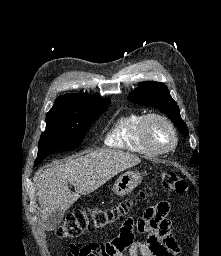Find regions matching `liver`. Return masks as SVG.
Returning <instances> with one entry per match:
<instances>
[{
  "label": "liver",
  "instance_id": "6515ba94",
  "mask_svg": "<svg viewBox=\"0 0 221 256\" xmlns=\"http://www.w3.org/2000/svg\"><path fill=\"white\" fill-rule=\"evenodd\" d=\"M141 162L136 155L116 149H100L85 156L54 162L36 173L38 202L42 220L56 210L66 211L80 198L87 195L118 173ZM68 183L75 192L70 191Z\"/></svg>",
  "mask_w": 221,
  "mask_h": 256
}]
</instances>
